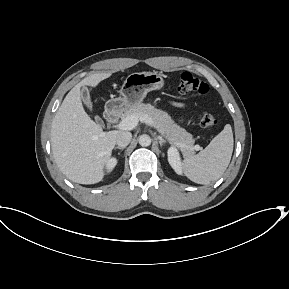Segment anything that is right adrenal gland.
Wrapping results in <instances>:
<instances>
[{"mask_svg":"<svg viewBox=\"0 0 289 289\" xmlns=\"http://www.w3.org/2000/svg\"><path fill=\"white\" fill-rule=\"evenodd\" d=\"M114 149H115V150H116V149H119V150L123 151V150L125 149V147H119V146H117V147H115Z\"/></svg>","mask_w":289,"mask_h":289,"instance_id":"right-adrenal-gland-1","label":"right adrenal gland"}]
</instances>
